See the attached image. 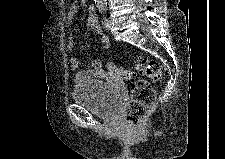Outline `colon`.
Segmentation results:
<instances>
[{
  "label": "colon",
  "mask_w": 225,
  "mask_h": 159,
  "mask_svg": "<svg viewBox=\"0 0 225 159\" xmlns=\"http://www.w3.org/2000/svg\"><path fill=\"white\" fill-rule=\"evenodd\" d=\"M136 69L148 78L157 81L163 76L162 66L154 59L140 56L136 61ZM107 73L115 80H130L132 73L128 69L107 64ZM155 100V90L147 80H137L132 86V99L125 112V121L132 126H139L146 118Z\"/></svg>",
  "instance_id": "5ec220e1"
}]
</instances>
